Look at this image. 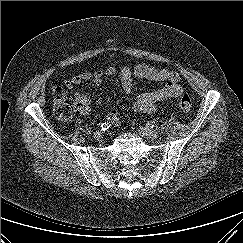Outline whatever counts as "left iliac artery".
I'll return each mask as SVG.
<instances>
[{
  "mask_svg": "<svg viewBox=\"0 0 243 243\" xmlns=\"http://www.w3.org/2000/svg\"><path fill=\"white\" fill-rule=\"evenodd\" d=\"M146 126H147L148 128H154L155 125H154L153 122H149V121H148V122L146 123Z\"/></svg>",
  "mask_w": 243,
  "mask_h": 243,
  "instance_id": "1",
  "label": "left iliac artery"
}]
</instances>
